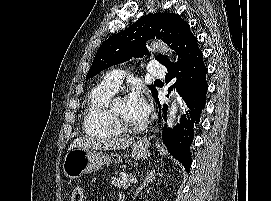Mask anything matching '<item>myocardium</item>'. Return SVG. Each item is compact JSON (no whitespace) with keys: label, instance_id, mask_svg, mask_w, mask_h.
Wrapping results in <instances>:
<instances>
[{"label":"myocardium","instance_id":"1","mask_svg":"<svg viewBox=\"0 0 271 201\" xmlns=\"http://www.w3.org/2000/svg\"><path fill=\"white\" fill-rule=\"evenodd\" d=\"M124 99L121 95H114L110 99L107 109L108 113L113 121V123L122 131V132H130V133H137L141 132L145 129L146 123L141 122L139 124H131L124 119H122L115 111L114 106L115 104Z\"/></svg>","mask_w":271,"mask_h":201}]
</instances>
